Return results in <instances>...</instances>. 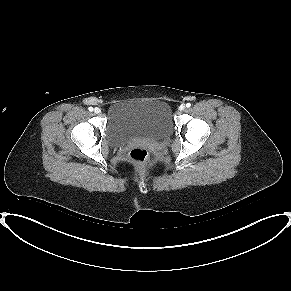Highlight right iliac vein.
Wrapping results in <instances>:
<instances>
[{
  "instance_id": "1",
  "label": "right iliac vein",
  "mask_w": 291,
  "mask_h": 291,
  "mask_svg": "<svg viewBox=\"0 0 291 291\" xmlns=\"http://www.w3.org/2000/svg\"><path fill=\"white\" fill-rule=\"evenodd\" d=\"M94 112H95L96 114H100V113H101V109H100V108H95V109H94Z\"/></svg>"
}]
</instances>
